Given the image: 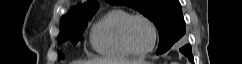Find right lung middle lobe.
Here are the masks:
<instances>
[{"label":"right lung middle lobe","mask_w":242,"mask_h":64,"mask_svg":"<svg viewBox=\"0 0 242 64\" xmlns=\"http://www.w3.org/2000/svg\"><path fill=\"white\" fill-rule=\"evenodd\" d=\"M95 13L96 12L88 14L80 20L72 23L61 24V32L58 36V43L60 44L64 41H71L74 45H76L83 38V32L87 26V21L90 20ZM59 56L64 58L61 52H59Z\"/></svg>","instance_id":"right-lung-middle-lobe-1"}]
</instances>
